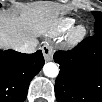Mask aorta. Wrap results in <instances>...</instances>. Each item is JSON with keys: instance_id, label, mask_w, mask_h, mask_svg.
<instances>
[{"instance_id": "obj_1", "label": "aorta", "mask_w": 102, "mask_h": 102, "mask_svg": "<svg viewBox=\"0 0 102 102\" xmlns=\"http://www.w3.org/2000/svg\"><path fill=\"white\" fill-rule=\"evenodd\" d=\"M43 72L47 77L54 78L59 73L58 66L53 62H48L43 67Z\"/></svg>"}]
</instances>
